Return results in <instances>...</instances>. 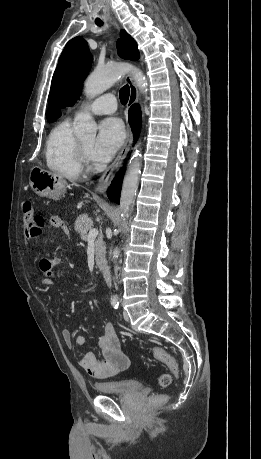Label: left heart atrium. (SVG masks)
Returning a JSON list of instances; mask_svg holds the SVG:
<instances>
[{
  "mask_svg": "<svg viewBox=\"0 0 261 459\" xmlns=\"http://www.w3.org/2000/svg\"><path fill=\"white\" fill-rule=\"evenodd\" d=\"M125 139V129L121 120L108 118L99 125L98 135L94 142L91 155L98 162L112 159Z\"/></svg>",
  "mask_w": 261,
  "mask_h": 459,
  "instance_id": "1",
  "label": "left heart atrium"
}]
</instances>
